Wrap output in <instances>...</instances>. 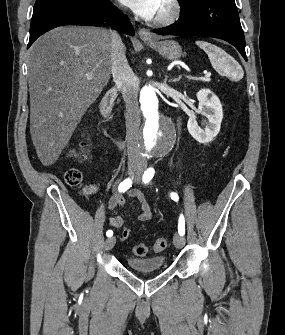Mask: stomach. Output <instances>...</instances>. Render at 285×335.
I'll list each match as a JSON object with an SVG mask.
<instances>
[{
	"instance_id": "stomach-1",
	"label": "stomach",
	"mask_w": 285,
	"mask_h": 335,
	"mask_svg": "<svg viewBox=\"0 0 285 335\" xmlns=\"http://www.w3.org/2000/svg\"><path fill=\"white\" fill-rule=\"evenodd\" d=\"M148 46H151L153 50L159 52L163 58L166 60H179L182 56V50L178 44V42H174V40H164V42H146Z\"/></svg>"
}]
</instances>
